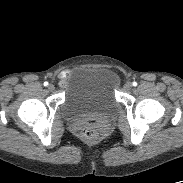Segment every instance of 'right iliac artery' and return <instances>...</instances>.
<instances>
[{
    "mask_svg": "<svg viewBox=\"0 0 183 183\" xmlns=\"http://www.w3.org/2000/svg\"><path fill=\"white\" fill-rule=\"evenodd\" d=\"M48 85V82H44V86H47Z\"/></svg>",
    "mask_w": 183,
    "mask_h": 183,
    "instance_id": "1",
    "label": "right iliac artery"
}]
</instances>
